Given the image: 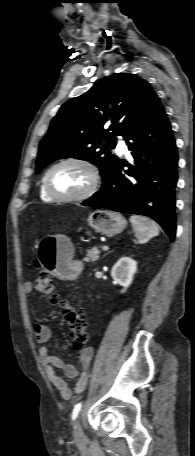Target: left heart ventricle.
I'll return each instance as SVG.
<instances>
[{"label": "left heart ventricle", "mask_w": 195, "mask_h": 456, "mask_svg": "<svg viewBox=\"0 0 195 456\" xmlns=\"http://www.w3.org/2000/svg\"><path fill=\"white\" fill-rule=\"evenodd\" d=\"M91 178L89 171L78 164H64L52 171L49 184L54 192L64 196L77 195L84 192Z\"/></svg>", "instance_id": "obj_1"}]
</instances>
